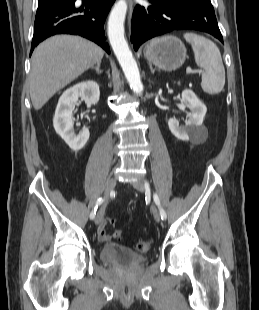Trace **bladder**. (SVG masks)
Returning <instances> with one entry per match:
<instances>
[{"mask_svg": "<svg viewBox=\"0 0 259 310\" xmlns=\"http://www.w3.org/2000/svg\"><path fill=\"white\" fill-rule=\"evenodd\" d=\"M103 262L129 268L145 262V257L133 252L131 249L116 244H105L99 253Z\"/></svg>", "mask_w": 259, "mask_h": 310, "instance_id": "1", "label": "bladder"}]
</instances>
